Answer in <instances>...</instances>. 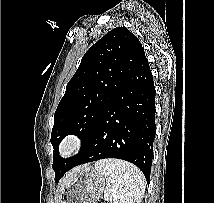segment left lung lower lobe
Instances as JSON below:
<instances>
[{"label": "left lung lower lobe", "mask_w": 214, "mask_h": 203, "mask_svg": "<svg viewBox=\"0 0 214 203\" xmlns=\"http://www.w3.org/2000/svg\"><path fill=\"white\" fill-rule=\"evenodd\" d=\"M155 87L146 56L103 110L93 132L67 171L117 158L135 164L149 182L155 138Z\"/></svg>", "instance_id": "1"}]
</instances>
